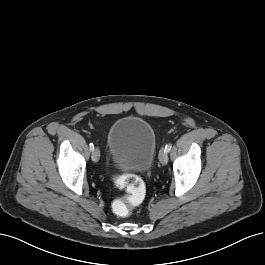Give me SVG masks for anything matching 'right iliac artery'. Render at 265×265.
<instances>
[{
	"instance_id": "right-iliac-artery-1",
	"label": "right iliac artery",
	"mask_w": 265,
	"mask_h": 265,
	"mask_svg": "<svg viewBox=\"0 0 265 265\" xmlns=\"http://www.w3.org/2000/svg\"><path fill=\"white\" fill-rule=\"evenodd\" d=\"M89 146H90V150L93 151V150H94V145H93V143H90Z\"/></svg>"
}]
</instances>
